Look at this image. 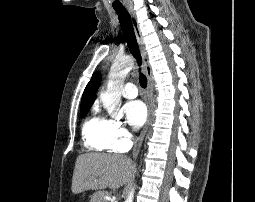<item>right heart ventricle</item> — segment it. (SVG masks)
I'll return each instance as SVG.
<instances>
[{
    "label": "right heart ventricle",
    "mask_w": 255,
    "mask_h": 202,
    "mask_svg": "<svg viewBox=\"0 0 255 202\" xmlns=\"http://www.w3.org/2000/svg\"><path fill=\"white\" fill-rule=\"evenodd\" d=\"M109 122L105 118L99 116L96 112L83 124L82 134L84 144L94 151H105L110 149L108 141Z\"/></svg>",
    "instance_id": "obj_1"
}]
</instances>
